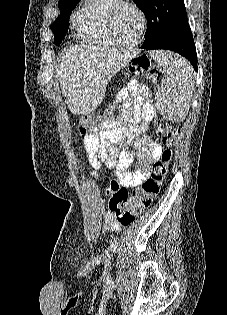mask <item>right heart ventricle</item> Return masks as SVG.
Listing matches in <instances>:
<instances>
[{
  "instance_id": "obj_1",
  "label": "right heart ventricle",
  "mask_w": 227,
  "mask_h": 315,
  "mask_svg": "<svg viewBox=\"0 0 227 315\" xmlns=\"http://www.w3.org/2000/svg\"><path fill=\"white\" fill-rule=\"evenodd\" d=\"M116 0H85L75 12L73 22L82 39L91 44L111 45L106 31L109 7Z\"/></svg>"
}]
</instances>
